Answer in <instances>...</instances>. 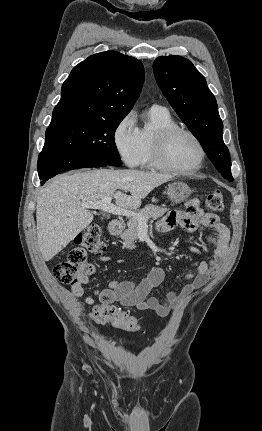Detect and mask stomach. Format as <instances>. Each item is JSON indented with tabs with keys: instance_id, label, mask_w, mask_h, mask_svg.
Segmentation results:
<instances>
[{
	"instance_id": "obj_1",
	"label": "stomach",
	"mask_w": 262,
	"mask_h": 431,
	"mask_svg": "<svg viewBox=\"0 0 262 431\" xmlns=\"http://www.w3.org/2000/svg\"><path fill=\"white\" fill-rule=\"evenodd\" d=\"M191 192V188L184 182L175 181L167 186V196L174 203L186 201Z\"/></svg>"
}]
</instances>
